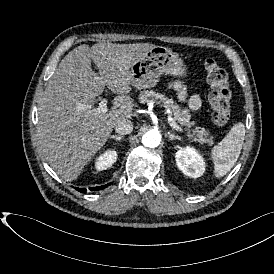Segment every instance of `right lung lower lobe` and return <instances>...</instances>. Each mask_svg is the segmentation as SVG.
<instances>
[{
    "mask_svg": "<svg viewBox=\"0 0 274 274\" xmlns=\"http://www.w3.org/2000/svg\"><path fill=\"white\" fill-rule=\"evenodd\" d=\"M110 184L111 183L106 184L104 186H98V187L90 188V190L96 191V190H99V189H103V188H106L107 186H109ZM75 189L78 190L81 193H86V189L85 188H75Z\"/></svg>",
    "mask_w": 274,
    "mask_h": 274,
    "instance_id": "obj_1",
    "label": "right lung lower lobe"
}]
</instances>
